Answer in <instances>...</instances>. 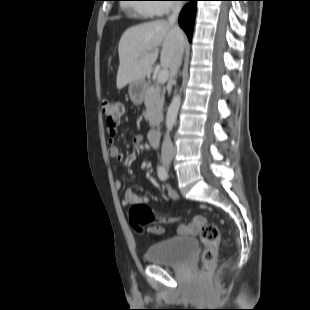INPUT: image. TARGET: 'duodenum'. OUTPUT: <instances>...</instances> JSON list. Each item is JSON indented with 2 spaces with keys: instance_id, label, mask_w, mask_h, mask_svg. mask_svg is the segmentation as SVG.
<instances>
[{
  "instance_id": "410a0bca",
  "label": "duodenum",
  "mask_w": 310,
  "mask_h": 310,
  "mask_svg": "<svg viewBox=\"0 0 310 310\" xmlns=\"http://www.w3.org/2000/svg\"><path fill=\"white\" fill-rule=\"evenodd\" d=\"M160 137H161V130L160 129H154V130L150 131L149 142L153 148H157L159 146Z\"/></svg>"
}]
</instances>
